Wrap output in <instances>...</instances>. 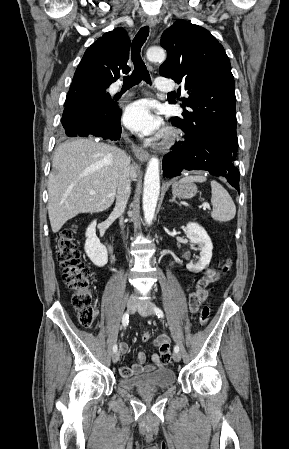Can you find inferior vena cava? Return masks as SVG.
Masks as SVG:
<instances>
[{"label": "inferior vena cava", "instance_id": "obj_1", "mask_svg": "<svg viewBox=\"0 0 289 449\" xmlns=\"http://www.w3.org/2000/svg\"><path fill=\"white\" fill-rule=\"evenodd\" d=\"M130 177H131V167H130V159L128 160V164L122 171L119 183L117 187L116 194V205L115 212L120 216V226L123 229V213L125 211L128 199L131 193V185H130Z\"/></svg>", "mask_w": 289, "mask_h": 449}]
</instances>
